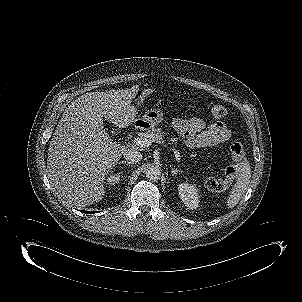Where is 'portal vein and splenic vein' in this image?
<instances>
[{
  "mask_svg": "<svg viewBox=\"0 0 302 302\" xmlns=\"http://www.w3.org/2000/svg\"><path fill=\"white\" fill-rule=\"evenodd\" d=\"M133 142L138 146V147H149L153 141L147 138H142V137H137L134 138ZM177 156L179 153L176 154Z\"/></svg>",
  "mask_w": 302,
  "mask_h": 302,
  "instance_id": "portal-vein-and-splenic-vein-1",
  "label": "portal vein and splenic vein"
}]
</instances>
